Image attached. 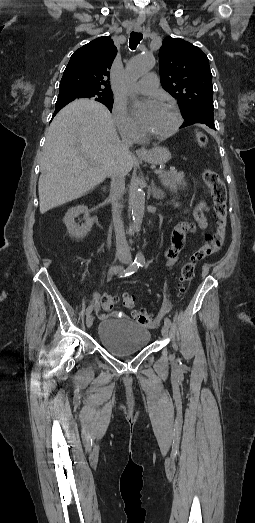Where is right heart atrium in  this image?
I'll return each instance as SVG.
<instances>
[{"label": "right heart atrium", "instance_id": "d8ad5b80", "mask_svg": "<svg viewBox=\"0 0 255 523\" xmlns=\"http://www.w3.org/2000/svg\"><path fill=\"white\" fill-rule=\"evenodd\" d=\"M112 119L120 133L126 140H132L138 135V127L129 114L127 105L119 100L112 106Z\"/></svg>", "mask_w": 255, "mask_h": 523}]
</instances>
